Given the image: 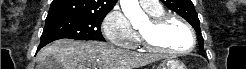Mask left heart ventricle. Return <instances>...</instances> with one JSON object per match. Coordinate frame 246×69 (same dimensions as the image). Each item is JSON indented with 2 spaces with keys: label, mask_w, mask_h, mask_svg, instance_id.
<instances>
[{
  "label": "left heart ventricle",
  "mask_w": 246,
  "mask_h": 69,
  "mask_svg": "<svg viewBox=\"0 0 246 69\" xmlns=\"http://www.w3.org/2000/svg\"><path fill=\"white\" fill-rule=\"evenodd\" d=\"M139 31L146 35L151 42L166 48H180L190 41L188 31L183 24L176 19L169 20L157 31L151 29L148 21Z\"/></svg>",
  "instance_id": "b2bd125f"
}]
</instances>
